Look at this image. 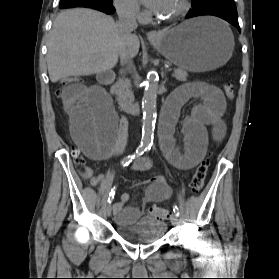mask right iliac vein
Wrapping results in <instances>:
<instances>
[{
    "label": "right iliac vein",
    "instance_id": "obj_1",
    "mask_svg": "<svg viewBox=\"0 0 279 279\" xmlns=\"http://www.w3.org/2000/svg\"><path fill=\"white\" fill-rule=\"evenodd\" d=\"M111 213H112V205H111V203H109L106 206V214L109 217L111 215Z\"/></svg>",
    "mask_w": 279,
    "mask_h": 279
}]
</instances>
